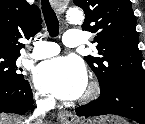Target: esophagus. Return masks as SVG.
Returning a JSON list of instances; mask_svg holds the SVG:
<instances>
[{
	"instance_id": "34e87169",
	"label": "esophagus",
	"mask_w": 145,
	"mask_h": 124,
	"mask_svg": "<svg viewBox=\"0 0 145 124\" xmlns=\"http://www.w3.org/2000/svg\"><path fill=\"white\" fill-rule=\"evenodd\" d=\"M60 12V10H58ZM58 119L63 124H73L76 121L74 115L66 110L58 111Z\"/></svg>"
}]
</instances>
